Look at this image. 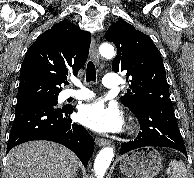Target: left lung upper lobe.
Returning <instances> with one entry per match:
<instances>
[{
  "instance_id": "1",
  "label": "left lung upper lobe",
  "mask_w": 194,
  "mask_h": 178,
  "mask_svg": "<svg viewBox=\"0 0 194 178\" xmlns=\"http://www.w3.org/2000/svg\"><path fill=\"white\" fill-rule=\"evenodd\" d=\"M105 39L117 47V56L112 62L114 72H125L130 89L121 97V102L132 112L142 101L170 100L162 57L151 40L124 20L112 24Z\"/></svg>"
}]
</instances>
